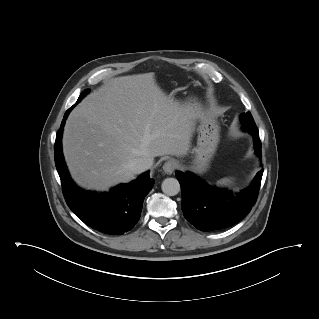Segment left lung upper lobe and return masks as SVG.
<instances>
[{
	"label": "left lung upper lobe",
	"mask_w": 319,
	"mask_h": 319,
	"mask_svg": "<svg viewBox=\"0 0 319 319\" xmlns=\"http://www.w3.org/2000/svg\"><path fill=\"white\" fill-rule=\"evenodd\" d=\"M240 120H241L242 124L245 126H256L250 112L241 114Z\"/></svg>",
	"instance_id": "obj_1"
}]
</instances>
